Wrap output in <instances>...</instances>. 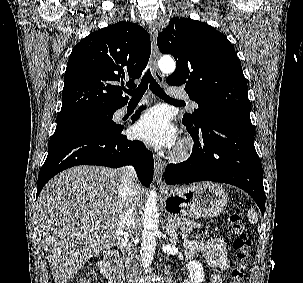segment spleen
Masks as SVG:
<instances>
[{"label":"spleen","instance_id":"3e777b00","mask_svg":"<svg viewBox=\"0 0 303 283\" xmlns=\"http://www.w3.org/2000/svg\"><path fill=\"white\" fill-rule=\"evenodd\" d=\"M247 217H248V220L251 223H257L258 222V216H257V214L253 210H249L248 211Z\"/></svg>","mask_w":303,"mask_h":283}]
</instances>
